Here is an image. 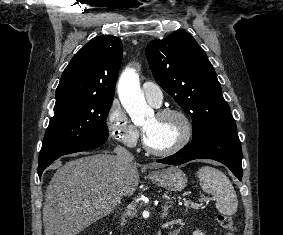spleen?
Wrapping results in <instances>:
<instances>
[{"instance_id":"3e777b00","label":"spleen","mask_w":283,"mask_h":235,"mask_svg":"<svg viewBox=\"0 0 283 235\" xmlns=\"http://www.w3.org/2000/svg\"><path fill=\"white\" fill-rule=\"evenodd\" d=\"M196 175L202 190L216 197V208L220 213L231 216L237 212L236 192L223 172L211 166H203L199 168Z\"/></svg>"}]
</instances>
